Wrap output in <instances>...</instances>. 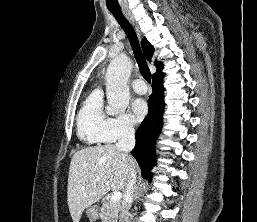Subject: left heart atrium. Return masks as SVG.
<instances>
[{
    "label": "left heart atrium",
    "mask_w": 257,
    "mask_h": 222,
    "mask_svg": "<svg viewBox=\"0 0 257 222\" xmlns=\"http://www.w3.org/2000/svg\"><path fill=\"white\" fill-rule=\"evenodd\" d=\"M132 111L135 121L139 122L145 118L148 112L147 104L143 99H136L132 103Z\"/></svg>",
    "instance_id": "1"
}]
</instances>
